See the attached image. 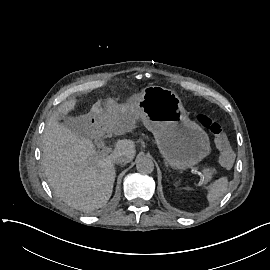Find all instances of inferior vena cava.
I'll return each instance as SVG.
<instances>
[{
    "label": "inferior vena cava",
    "mask_w": 270,
    "mask_h": 270,
    "mask_svg": "<svg viewBox=\"0 0 270 270\" xmlns=\"http://www.w3.org/2000/svg\"><path fill=\"white\" fill-rule=\"evenodd\" d=\"M112 158H113V162L117 163V164H122V163L125 164V163L129 162V160L126 156L119 154V153H115Z\"/></svg>",
    "instance_id": "inferior-vena-cava-1"
}]
</instances>
